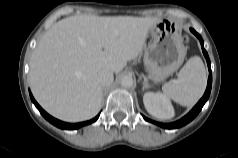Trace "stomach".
<instances>
[{
	"instance_id": "0dacf381",
	"label": "stomach",
	"mask_w": 238,
	"mask_h": 158,
	"mask_svg": "<svg viewBox=\"0 0 238 158\" xmlns=\"http://www.w3.org/2000/svg\"><path fill=\"white\" fill-rule=\"evenodd\" d=\"M149 33L151 42L145 50L144 66L150 79L158 83L179 69L186 49L179 29L172 21L159 19Z\"/></svg>"
}]
</instances>
